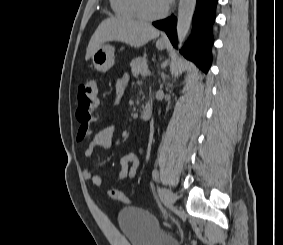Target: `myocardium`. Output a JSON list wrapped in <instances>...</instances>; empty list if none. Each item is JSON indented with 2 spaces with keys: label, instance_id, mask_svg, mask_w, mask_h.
<instances>
[{
  "label": "myocardium",
  "instance_id": "obj_1",
  "mask_svg": "<svg viewBox=\"0 0 283 245\" xmlns=\"http://www.w3.org/2000/svg\"><path fill=\"white\" fill-rule=\"evenodd\" d=\"M170 6H171V3H167L166 7L159 13L157 14H149L147 13L143 6H142V0H134V7H135V10L138 14V16L143 19V20H147V21H154V20H159L163 17H165L169 10H170Z\"/></svg>",
  "mask_w": 283,
  "mask_h": 245
}]
</instances>
